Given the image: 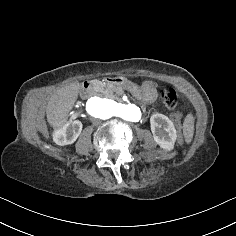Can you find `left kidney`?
<instances>
[{
    "instance_id": "obj_1",
    "label": "left kidney",
    "mask_w": 236,
    "mask_h": 236,
    "mask_svg": "<svg viewBox=\"0 0 236 236\" xmlns=\"http://www.w3.org/2000/svg\"><path fill=\"white\" fill-rule=\"evenodd\" d=\"M150 124L157 144L163 149L172 150L177 138L176 129L172 121L167 116L156 113L151 116Z\"/></svg>"
}]
</instances>
